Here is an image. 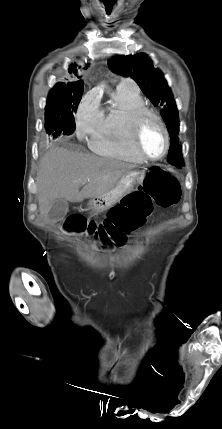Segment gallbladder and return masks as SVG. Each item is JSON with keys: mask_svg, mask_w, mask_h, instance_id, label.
<instances>
[{"mask_svg": "<svg viewBox=\"0 0 222 429\" xmlns=\"http://www.w3.org/2000/svg\"><path fill=\"white\" fill-rule=\"evenodd\" d=\"M69 209L68 201L65 199L57 200L53 203L48 217L50 220L58 222L64 219Z\"/></svg>", "mask_w": 222, "mask_h": 429, "instance_id": "bac80fb5", "label": "gallbladder"}]
</instances>
